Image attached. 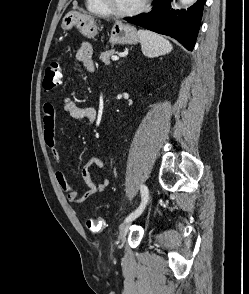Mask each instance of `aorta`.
I'll return each mask as SVG.
<instances>
[{"label": "aorta", "instance_id": "obj_1", "mask_svg": "<svg viewBox=\"0 0 249 294\" xmlns=\"http://www.w3.org/2000/svg\"><path fill=\"white\" fill-rule=\"evenodd\" d=\"M196 1L197 0H180L182 5H191V4L195 3Z\"/></svg>", "mask_w": 249, "mask_h": 294}]
</instances>
